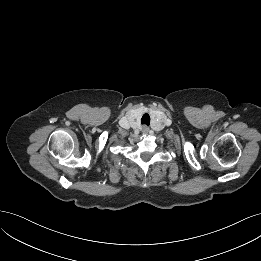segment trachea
I'll use <instances>...</instances> for the list:
<instances>
[{
	"mask_svg": "<svg viewBox=\"0 0 261 261\" xmlns=\"http://www.w3.org/2000/svg\"><path fill=\"white\" fill-rule=\"evenodd\" d=\"M141 123L149 126L150 124V116L149 114L145 113L141 118Z\"/></svg>",
	"mask_w": 261,
	"mask_h": 261,
	"instance_id": "1",
	"label": "trachea"
}]
</instances>
